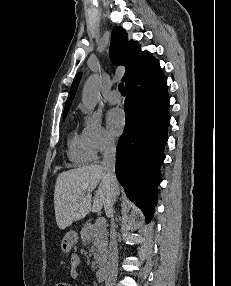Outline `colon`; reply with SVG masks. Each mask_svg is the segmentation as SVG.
Wrapping results in <instances>:
<instances>
[{
    "mask_svg": "<svg viewBox=\"0 0 231 286\" xmlns=\"http://www.w3.org/2000/svg\"><path fill=\"white\" fill-rule=\"evenodd\" d=\"M55 286H72V285L68 282H58Z\"/></svg>",
    "mask_w": 231,
    "mask_h": 286,
    "instance_id": "colon-1",
    "label": "colon"
}]
</instances>
